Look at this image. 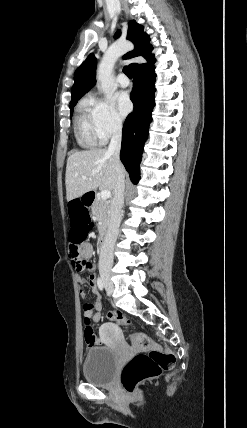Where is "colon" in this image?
<instances>
[{
    "instance_id": "obj_1",
    "label": "colon",
    "mask_w": 247,
    "mask_h": 428,
    "mask_svg": "<svg viewBox=\"0 0 247 428\" xmlns=\"http://www.w3.org/2000/svg\"><path fill=\"white\" fill-rule=\"evenodd\" d=\"M65 207L68 208V220L65 223L70 241V254L75 260L79 271L88 268L89 263L80 258L79 247L83 246V239H90L93 231V217H88L91 211L90 204H83L82 199H66ZM108 318L122 325L128 326L129 320L119 312H109ZM84 338L87 345L92 346L96 342L92 322L88 317L84 318ZM130 345L144 352L136 354L125 365L121 382L124 389L134 394L139 384L145 380L159 377L164 371L174 367L175 355L160 348L144 332H137L130 336Z\"/></svg>"
}]
</instances>
